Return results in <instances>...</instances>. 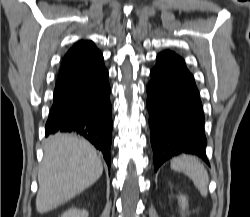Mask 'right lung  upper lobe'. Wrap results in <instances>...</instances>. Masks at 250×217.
<instances>
[{
    "instance_id": "cb5924a9",
    "label": "right lung upper lobe",
    "mask_w": 250,
    "mask_h": 217,
    "mask_svg": "<svg viewBox=\"0 0 250 217\" xmlns=\"http://www.w3.org/2000/svg\"><path fill=\"white\" fill-rule=\"evenodd\" d=\"M100 54L92 41L77 42L65 55L57 79L83 69Z\"/></svg>"
}]
</instances>
